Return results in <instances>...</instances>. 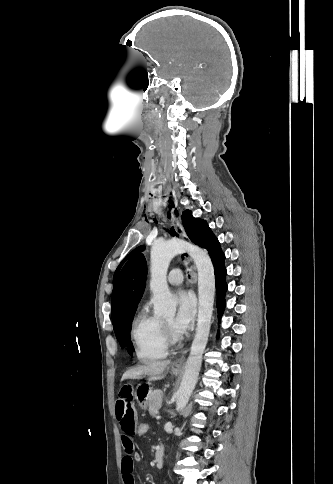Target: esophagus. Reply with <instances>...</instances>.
<instances>
[{
	"label": "esophagus",
	"mask_w": 333,
	"mask_h": 484,
	"mask_svg": "<svg viewBox=\"0 0 333 484\" xmlns=\"http://www.w3.org/2000/svg\"><path fill=\"white\" fill-rule=\"evenodd\" d=\"M167 217L169 219V222L171 223V226L173 228V232L177 234L180 238H186V233L182 227L181 224V211L177 207H172V208H167L166 211ZM186 258V256H185ZM185 355H182L180 358L176 359L174 361V366L175 367H181L185 363Z\"/></svg>",
	"instance_id": "obj_1"
}]
</instances>
